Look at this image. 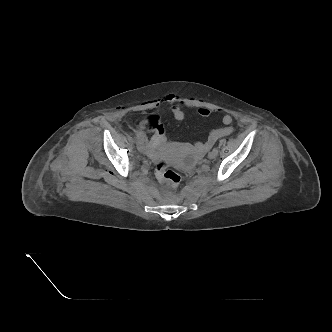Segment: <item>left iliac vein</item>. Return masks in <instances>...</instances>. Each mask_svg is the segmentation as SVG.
Here are the masks:
<instances>
[{"label": "left iliac vein", "mask_w": 332, "mask_h": 332, "mask_svg": "<svg viewBox=\"0 0 332 332\" xmlns=\"http://www.w3.org/2000/svg\"><path fill=\"white\" fill-rule=\"evenodd\" d=\"M217 156V154L213 151H211L209 154H208V158L209 159H214L215 157Z\"/></svg>", "instance_id": "left-iliac-vein-1"}]
</instances>
